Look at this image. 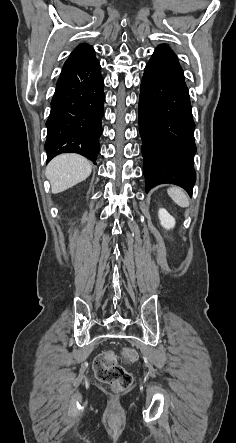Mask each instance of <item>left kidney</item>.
I'll return each instance as SVG.
<instances>
[{
    "mask_svg": "<svg viewBox=\"0 0 236 443\" xmlns=\"http://www.w3.org/2000/svg\"><path fill=\"white\" fill-rule=\"evenodd\" d=\"M158 215L160 223L165 229L169 230L174 228L175 219L165 209H159Z\"/></svg>",
    "mask_w": 236,
    "mask_h": 443,
    "instance_id": "1",
    "label": "left kidney"
}]
</instances>
